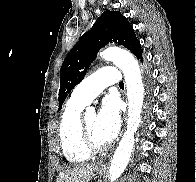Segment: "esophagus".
I'll use <instances>...</instances> for the list:
<instances>
[{
    "label": "esophagus",
    "mask_w": 196,
    "mask_h": 182,
    "mask_svg": "<svg viewBox=\"0 0 196 182\" xmlns=\"http://www.w3.org/2000/svg\"><path fill=\"white\" fill-rule=\"evenodd\" d=\"M104 166H105V165H104V164H102V163H101V164H99V167H104Z\"/></svg>",
    "instance_id": "34e87169"
}]
</instances>
